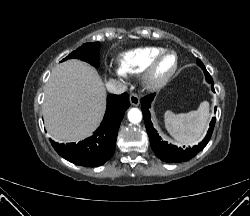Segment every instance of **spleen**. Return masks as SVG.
<instances>
[{
    "instance_id": "obj_1",
    "label": "spleen",
    "mask_w": 250,
    "mask_h": 216,
    "mask_svg": "<svg viewBox=\"0 0 250 216\" xmlns=\"http://www.w3.org/2000/svg\"><path fill=\"white\" fill-rule=\"evenodd\" d=\"M164 118L165 127L174 139L184 145H195L203 138L208 127L209 103L204 101L197 110L188 113L167 111Z\"/></svg>"
}]
</instances>
